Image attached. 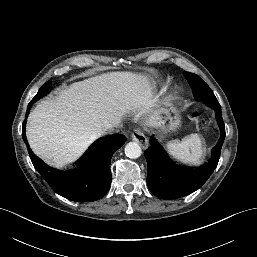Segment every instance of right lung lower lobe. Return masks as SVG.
<instances>
[{
  "instance_id": "obj_1",
  "label": "right lung lower lobe",
  "mask_w": 257,
  "mask_h": 257,
  "mask_svg": "<svg viewBox=\"0 0 257 257\" xmlns=\"http://www.w3.org/2000/svg\"><path fill=\"white\" fill-rule=\"evenodd\" d=\"M31 104L32 101L28 105L27 114ZM25 124L26 121L23 123L22 134L26 139ZM125 141L126 138L119 134L100 138L74 166L66 168L49 166L32 151L29 155L35 169L57 194L77 202H90L102 198L108 192L111 186L110 161Z\"/></svg>"
}]
</instances>
